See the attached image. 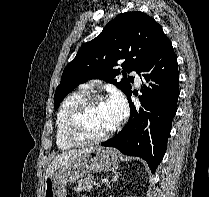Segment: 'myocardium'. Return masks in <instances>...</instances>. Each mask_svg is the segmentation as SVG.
<instances>
[{
  "instance_id": "1",
  "label": "myocardium",
  "mask_w": 209,
  "mask_h": 197,
  "mask_svg": "<svg viewBox=\"0 0 209 197\" xmlns=\"http://www.w3.org/2000/svg\"><path fill=\"white\" fill-rule=\"evenodd\" d=\"M101 101H104V97L102 95H87L70 111L65 123V135L71 143L75 145H89L99 143L109 138L117 130L118 125L116 124L99 136L89 137L81 132L80 122L83 114L90 106Z\"/></svg>"
}]
</instances>
